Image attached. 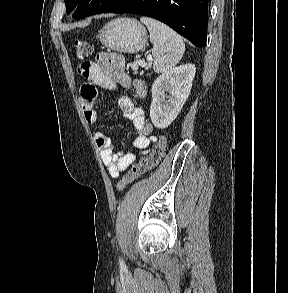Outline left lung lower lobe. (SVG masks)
Segmentation results:
<instances>
[{
    "instance_id": "0a47b994",
    "label": "left lung lower lobe",
    "mask_w": 288,
    "mask_h": 293,
    "mask_svg": "<svg viewBox=\"0 0 288 293\" xmlns=\"http://www.w3.org/2000/svg\"><path fill=\"white\" fill-rule=\"evenodd\" d=\"M102 13H133L157 19L197 47L207 39L208 0H119Z\"/></svg>"
}]
</instances>
